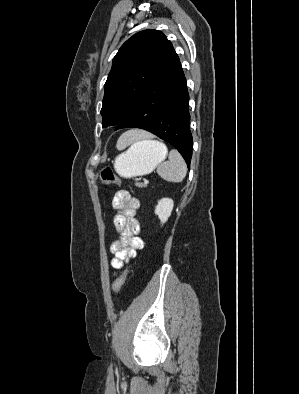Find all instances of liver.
<instances>
[{"label": "liver", "mask_w": 299, "mask_h": 394, "mask_svg": "<svg viewBox=\"0 0 299 394\" xmlns=\"http://www.w3.org/2000/svg\"><path fill=\"white\" fill-rule=\"evenodd\" d=\"M149 137V134L142 130H131L126 133L125 138L128 141V144L132 141Z\"/></svg>", "instance_id": "1"}]
</instances>
